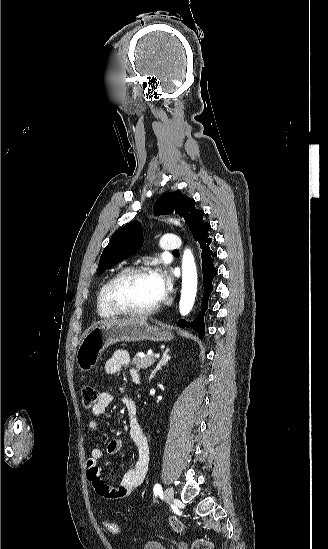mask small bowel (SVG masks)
I'll use <instances>...</instances> for the list:
<instances>
[{"mask_svg":"<svg viewBox=\"0 0 328 549\" xmlns=\"http://www.w3.org/2000/svg\"><path fill=\"white\" fill-rule=\"evenodd\" d=\"M130 364V355L125 350L115 351L105 362L104 370L108 375H115L123 367ZM133 376L136 373L131 370ZM113 396L109 392H102L96 404L92 407V413L96 416L103 415L107 408L111 405ZM130 421V429L127 439H114L110 441L106 447V453L109 456L117 454L120 449L126 444H131L137 452V458L132 468L128 469L121 478L119 485H111L104 481L102 470L99 466V461L103 457L102 449L95 447L91 450L90 457L87 460L88 478L92 483L96 492L105 499L117 500L131 494L144 480L148 471L150 460V449L146 435L136 419V407L130 397L123 398ZM88 428L97 432L99 423L96 420H91L88 423Z\"/></svg>","mask_w":328,"mask_h":549,"instance_id":"1","label":"small bowel"}]
</instances>
